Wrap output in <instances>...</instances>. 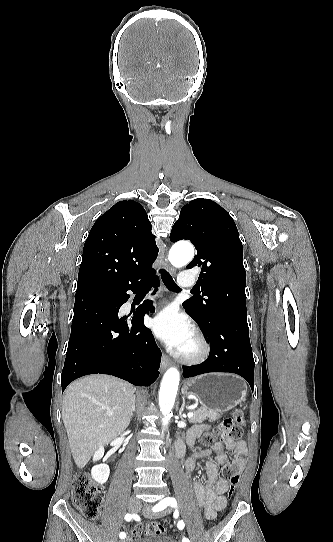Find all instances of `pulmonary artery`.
<instances>
[{
	"label": "pulmonary artery",
	"mask_w": 333,
	"mask_h": 542,
	"mask_svg": "<svg viewBox=\"0 0 333 542\" xmlns=\"http://www.w3.org/2000/svg\"><path fill=\"white\" fill-rule=\"evenodd\" d=\"M192 274H193V269L191 267H186L184 269V273H182L179 276V279L176 281V286L178 288H184V289H189L190 287H192L193 280H194V277Z\"/></svg>",
	"instance_id": "pulmonary-artery-1"
}]
</instances>
